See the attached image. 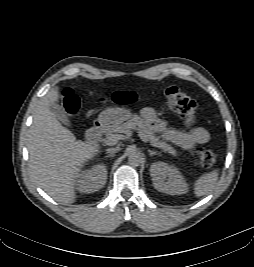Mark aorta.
<instances>
[{
  "instance_id": "aorta-1",
  "label": "aorta",
  "mask_w": 254,
  "mask_h": 267,
  "mask_svg": "<svg viewBox=\"0 0 254 267\" xmlns=\"http://www.w3.org/2000/svg\"><path fill=\"white\" fill-rule=\"evenodd\" d=\"M143 161L142 154L136 148H129L128 162L132 166H139Z\"/></svg>"
}]
</instances>
